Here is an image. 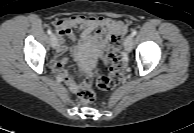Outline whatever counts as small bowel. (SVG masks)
<instances>
[{
  "instance_id": "c3829d8e",
  "label": "small bowel",
  "mask_w": 194,
  "mask_h": 133,
  "mask_svg": "<svg viewBox=\"0 0 194 133\" xmlns=\"http://www.w3.org/2000/svg\"><path fill=\"white\" fill-rule=\"evenodd\" d=\"M81 30L79 41L81 44L91 42L96 45L104 58L105 63L108 62L105 53L111 47V39L115 35H124L127 32V26L118 20L106 17H91L84 15H75L59 20L55 24V29L58 34L57 56L52 60L51 67L65 81L68 88L77 93L80 90V85L77 84L64 70L67 63L66 58H59L67 50L65 38L75 40L74 29Z\"/></svg>"
}]
</instances>
